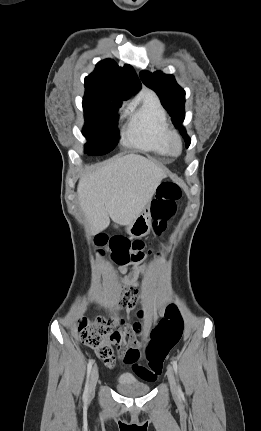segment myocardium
Masks as SVG:
<instances>
[{
  "label": "myocardium",
  "instance_id": "1",
  "mask_svg": "<svg viewBox=\"0 0 261 431\" xmlns=\"http://www.w3.org/2000/svg\"><path fill=\"white\" fill-rule=\"evenodd\" d=\"M167 149L168 152L173 156H178L183 150V140L180 134L173 129H170L167 134Z\"/></svg>",
  "mask_w": 261,
  "mask_h": 431
}]
</instances>
